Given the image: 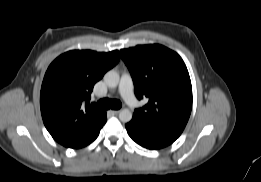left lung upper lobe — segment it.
Here are the masks:
<instances>
[{
    "instance_id": "obj_1",
    "label": "left lung upper lobe",
    "mask_w": 261,
    "mask_h": 182,
    "mask_svg": "<svg viewBox=\"0 0 261 182\" xmlns=\"http://www.w3.org/2000/svg\"><path fill=\"white\" fill-rule=\"evenodd\" d=\"M135 85L148 103L135 110L132 121L141 129L179 137L192 109L191 80L182 58L158 44L120 51Z\"/></svg>"
}]
</instances>
